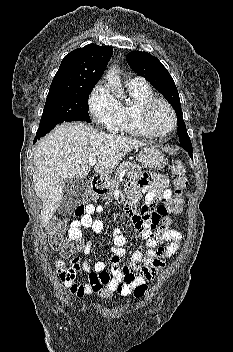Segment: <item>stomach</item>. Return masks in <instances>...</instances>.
<instances>
[{"label": "stomach", "instance_id": "1", "mask_svg": "<svg viewBox=\"0 0 233 352\" xmlns=\"http://www.w3.org/2000/svg\"><path fill=\"white\" fill-rule=\"evenodd\" d=\"M138 161L145 168L158 169L165 165L164 155L155 148L148 147L141 150L138 154Z\"/></svg>", "mask_w": 233, "mask_h": 352}]
</instances>
